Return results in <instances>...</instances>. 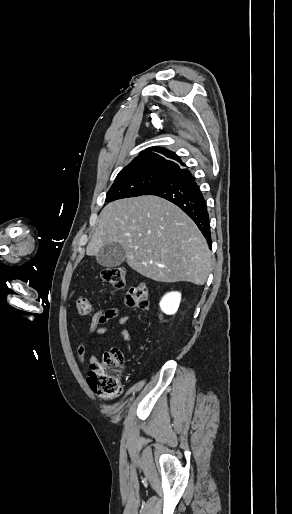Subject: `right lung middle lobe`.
<instances>
[{
    "label": "right lung middle lobe",
    "mask_w": 292,
    "mask_h": 514,
    "mask_svg": "<svg viewBox=\"0 0 292 514\" xmlns=\"http://www.w3.org/2000/svg\"><path fill=\"white\" fill-rule=\"evenodd\" d=\"M165 172H141L117 175L106 195V201L144 195L149 189L168 178Z\"/></svg>",
    "instance_id": "dd1d6c3e"
}]
</instances>
